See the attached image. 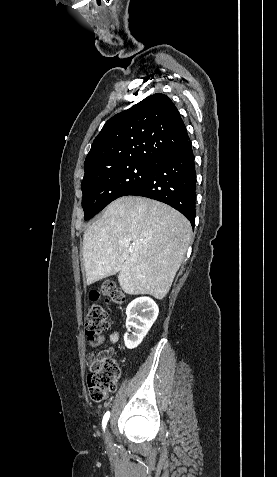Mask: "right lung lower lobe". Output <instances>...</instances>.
<instances>
[{"label": "right lung lower lobe", "instance_id": "1", "mask_svg": "<svg viewBox=\"0 0 277 477\" xmlns=\"http://www.w3.org/2000/svg\"><path fill=\"white\" fill-rule=\"evenodd\" d=\"M196 172L191 141L163 155L152 170L125 196H143L161 201L181 212L195 225Z\"/></svg>", "mask_w": 277, "mask_h": 477}]
</instances>
